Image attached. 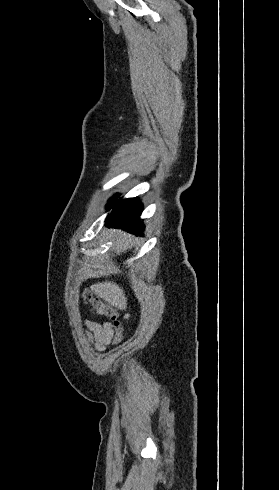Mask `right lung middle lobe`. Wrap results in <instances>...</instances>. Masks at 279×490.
Segmentation results:
<instances>
[{
    "label": "right lung middle lobe",
    "instance_id": "right-lung-middle-lobe-1",
    "mask_svg": "<svg viewBox=\"0 0 279 490\" xmlns=\"http://www.w3.org/2000/svg\"><path fill=\"white\" fill-rule=\"evenodd\" d=\"M115 199H116V197L111 198V199L109 200V204H108V206H110V205L113 203V201H114Z\"/></svg>",
    "mask_w": 279,
    "mask_h": 490
}]
</instances>
